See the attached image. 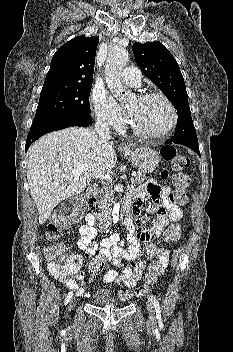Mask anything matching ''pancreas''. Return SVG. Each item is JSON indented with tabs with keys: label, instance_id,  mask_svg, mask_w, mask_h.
Segmentation results:
<instances>
[{
	"label": "pancreas",
	"instance_id": "obj_1",
	"mask_svg": "<svg viewBox=\"0 0 233 352\" xmlns=\"http://www.w3.org/2000/svg\"><path fill=\"white\" fill-rule=\"evenodd\" d=\"M145 180H146V176L139 174V175H136L134 178H132V183H134V184H141V183H143ZM112 193H113L112 187L109 186V187H108V190H107V192H106V194H105L106 200L110 201L111 196H112Z\"/></svg>",
	"mask_w": 233,
	"mask_h": 352
}]
</instances>
